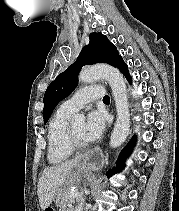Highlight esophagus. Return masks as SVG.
<instances>
[{"mask_svg":"<svg viewBox=\"0 0 179 211\" xmlns=\"http://www.w3.org/2000/svg\"><path fill=\"white\" fill-rule=\"evenodd\" d=\"M104 154H100V151H90V154H87V159H90V163H93L94 171H99V167H102L104 164Z\"/></svg>","mask_w":179,"mask_h":211,"instance_id":"1","label":"esophagus"}]
</instances>
